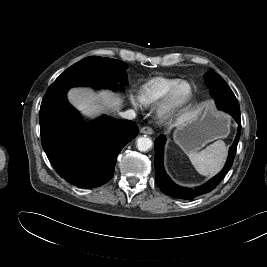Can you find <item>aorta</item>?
I'll use <instances>...</instances> for the list:
<instances>
[{
    "mask_svg": "<svg viewBox=\"0 0 267 267\" xmlns=\"http://www.w3.org/2000/svg\"><path fill=\"white\" fill-rule=\"evenodd\" d=\"M152 140L148 137H139L137 139V148L141 152L148 151L152 147Z\"/></svg>",
    "mask_w": 267,
    "mask_h": 267,
    "instance_id": "1",
    "label": "aorta"
}]
</instances>
